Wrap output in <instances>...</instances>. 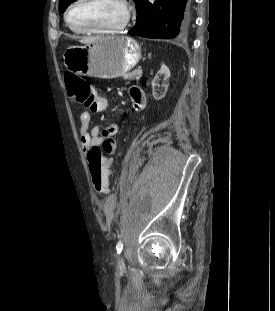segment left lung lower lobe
<instances>
[{
	"label": "left lung lower lobe",
	"mask_w": 275,
	"mask_h": 311,
	"mask_svg": "<svg viewBox=\"0 0 275 311\" xmlns=\"http://www.w3.org/2000/svg\"><path fill=\"white\" fill-rule=\"evenodd\" d=\"M192 0H144L137 13L135 26L129 34L153 38L172 39L187 35L191 24Z\"/></svg>",
	"instance_id": "obj_1"
}]
</instances>
